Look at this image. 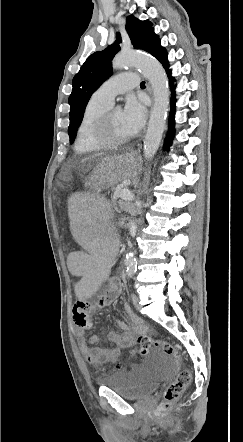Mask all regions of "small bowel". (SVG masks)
<instances>
[{"mask_svg": "<svg viewBox=\"0 0 243 442\" xmlns=\"http://www.w3.org/2000/svg\"><path fill=\"white\" fill-rule=\"evenodd\" d=\"M120 293L119 282L113 278L108 281V288L104 295L105 304L112 303ZM100 305H91L84 300H79L73 308V319L77 326V339L79 348L84 358L93 365H104L114 363L122 355L125 349L135 344L136 335L144 332L145 325L142 320L136 316L129 305H125V312L132 322V326L122 320L115 321L123 333L109 332L107 340L110 346L100 348L96 344L99 342L97 336H93L91 340H87L85 331L91 325V314L98 311ZM82 322L84 324H82Z\"/></svg>", "mask_w": 243, "mask_h": 442, "instance_id": "1", "label": "small bowel"}]
</instances>
